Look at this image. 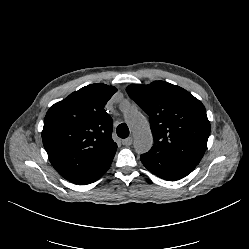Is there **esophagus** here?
I'll return each instance as SVG.
<instances>
[{"instance_id": "34e87169", "label": "esophagus", "mask_w": 249, "mask_h": 249, "mask_svg": "<svg viewBox=\"0 0 249 249\" xmlns=\"http://www.w3.org/2000/svg\"><path fill=\"white\" fill-rule=\"evenodd\" d=\"M132 142H133L132 137H128V138L122 140V144H123L124 146H130V145L132 144Z\"/></svg>"}]
</instances>
